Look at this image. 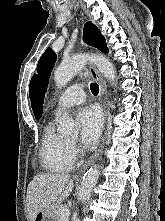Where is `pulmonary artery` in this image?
<instances>
[{"label": "pulmonary artery", "mask_w": 165, "mask_h": 221, "mask_svg": "<svg viewBox=\"0 0 165 221\" xmlns=\"http://www.w3.org/2000/svg\"><path fill=\"white\" fill-rule=\"evenodd\" d=\"M85 98L83 84L71 85L58 98L54 114L57 115L64 109L82 104L85 101Z\"/></svg>", "instance_id": "e3ab8cb5"}]
</instances>
